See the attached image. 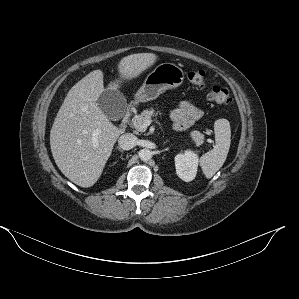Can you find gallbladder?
Here are the masks:
<instances>
[{"instance_id":"gallbladder-1","label":"gallbladder","mask_w":299,"mask_h":299,"mask_svg":"<svg viewBox=\"0 0 299 299\" xmlns=\"http://www.w3.org/2000/svg\"><path fill=\"white\" fill-rule=\"evenodd\" d=\"M97 105L109 119L119 120L125 113L127 102L120 91L106 89L100 94Z\"/></svg>"}]
</instances>
